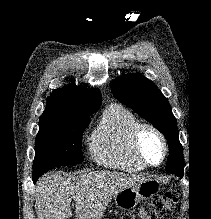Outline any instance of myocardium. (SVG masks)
<instances>
[{
	"label": "myocardium",
	"mask_w": 211,
	"mask_h": 219,
	"mask_svg": "<svg viewBox=\"0 0 211 219\" xmlns=\"http://www.w3.org/2000/svg\"><path fill=\"white\" fill-rule=\"evenodd\" d=\"M145 131H150L154 135L158 137L162 144V156L161 159L158 163H150L149 161L146 160L144 157L141 148H140V143H141V137ZM132 149L135 157L145 166V167H158L161 166L167 156H168V143L165 135L162 133V131L156 127L155 125L151 123H140L134 130L133 135H132Z\"/></svg>",
	"instance_id": "f54148a6"
}]
</instances>
